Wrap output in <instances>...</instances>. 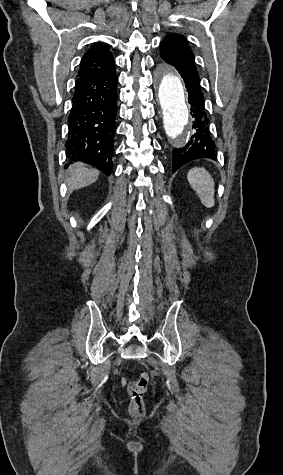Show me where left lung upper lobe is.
<instances>
[{"label":"left lung upper lobe","mask_w":283,"mask_h":475,"mask_svg":"<svg viewBox=\"0 0 283 475\" xmlns=\"http://www.w3.org/2000/svg\"><path fill=\"white\" fill-rule=\"evenodd\" d=\"M161 57L164 61L178 63L190 62L195 64V57L187 39L180 34H169L160 43Z\"/></svg>","instance_id":"5c2ea615"}]
</instances>
